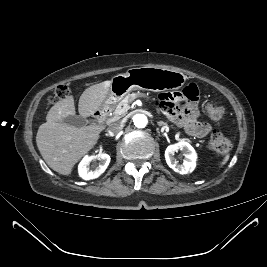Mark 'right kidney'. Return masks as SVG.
I'll list each match as a JSON object with an SVG mask.
<instances>
[{
    "instance_id": "right-kidney-1",
    "label": "right kidney",
    "mask_w": 267,
    "mask_h": 267,
    "mask_svg": "<svg viewBox=\"0 0 267 267\" xmlns=\"http://www.w3.org/2000/svg\"><path fill=\"white\" fill-rule=\"evenodd\" d=\"M98 159L99 163L90 167V163ZM110 163V156L105 153H99L97 155L85 156L80 162L78 172L80 177L84 180H91L98 178L107 168Z\"/></svg>"
}]
</instances>
